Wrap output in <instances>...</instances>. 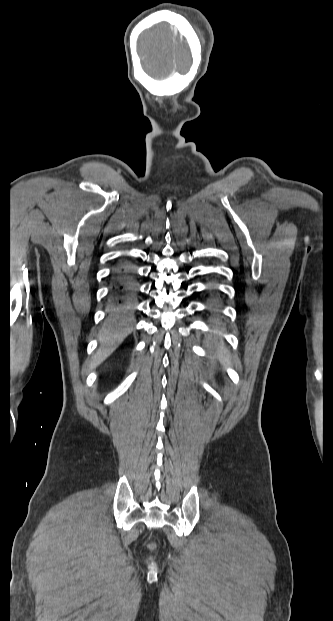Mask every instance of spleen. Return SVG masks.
Returning a JSON list of instances; mask_svg holds the SVG:
<instances>
[{"instance_id": "spleen-1", "label": "spleen", "mask_w": 333, "mask_h": 621, "mask_svg": "<svg viewBox=\"0 0 333 621\" xmlns=\"http://www.w3.org/2000/svg\"><path fill=\"white\" fill-rule=\"evenodd\" d=\"M215 346L217 348L216 353H217V357L220 360V362L224 365V366H231L232 362H231V355L229 350L225 347L223 341H218L215 339Z\"/></svg>"}]
</instances>
